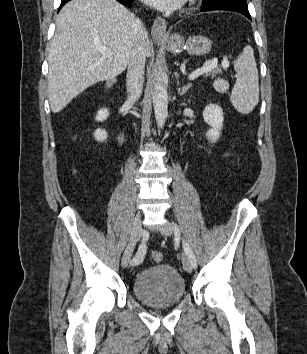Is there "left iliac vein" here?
I'll return each instance as SVG.
<instances>
[{
    "label": "left iliac vein",
    "instance_id": "obj_1",
    "mask_svg": "<svg viewBox=\"0 0 307 354\" xmlns=\"http://www.w3.org/2000/svg\"><path fill=\"white\" fill-rule=\"evenodd\" d=\"M159 231L165 236H171L173 234V227L170 223H165L159 227ZM182 264L186 272H192V266L186 253L182 254Z\"/></svg>",
    "mask_w": 307,
    "mask_h": 354
}]
</instances>
